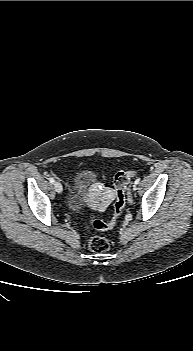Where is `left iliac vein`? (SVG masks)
<instances>
[{"instance_id":"4c4485c4","label":"left iliac vein","mask_w":193,"mask_h":351,"mask_svg":"<svg viewBox=\"0 0 193 351\" xmlns=\"http://www.w3.org/2000/svg\"><path fill=\"white\" fill-rule=\"evenodd\" d=\"M136 189H137V184L134 183L133 190H136Z\"/></svg>"}]
</instances>
